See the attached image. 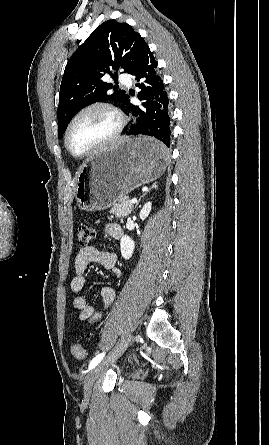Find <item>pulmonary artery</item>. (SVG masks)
Instances as JSON below:
<instances>
[{"label": "pulmonary artery", "instance_id": "obj_1", "mask_svg": "<svg viewBox=\"0 0 269 445\" xmlns=\"http://www.w3.org/2000/svg\"><path fill=\"white\" fill-rule=\"evenodd\" d=\"M119 80H120L123 84H126V85H130V84H131V80H130L129 76H127V75H125V74L120 75V76H119Z\"/></svg>", "mask_w": 269, "mask_h": 445}]
</instances>
